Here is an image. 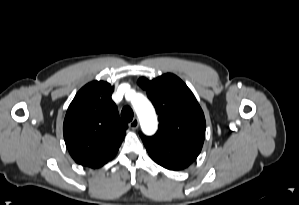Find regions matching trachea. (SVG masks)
I'll return each instance as SVG.
<instances>
[{
	"mask_svg": "<svg viewBox=\"0 0 299 205\" xmlns=\"http://www.w3.org/2000/svg\"><path fill=\"white\" fill-rule=\"evenodd\" d=\"M133 116H134V113H133V110L130 107L126 106L122 109L121 117H122L124 122L132 121Z\"/></svg>",
	"mask_w": 299,
	"mask_h": 205,
	"instance_id": "3493384b",
	"label": "trachea"
}]
</instances>
